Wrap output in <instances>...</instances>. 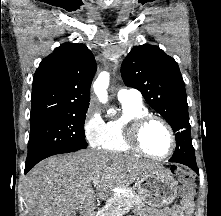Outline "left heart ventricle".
<instances>
[{"instance_id": "left-heart-ventricle-1", "label": "left heart ventricle", "mask_w": 221, "mask_h": 216, "mask_svg": "<svg viewBox=\"0 0 221 216\" xmlns=\"http://www.w3.org/2000/svg\"><path fill=\"white\" fill-rule=\"evenodd\" d=\"M143 144L149 152L163 155L170 149V135L161 123L152 122L143 132Z\"/></svg>"}]
</instances>
